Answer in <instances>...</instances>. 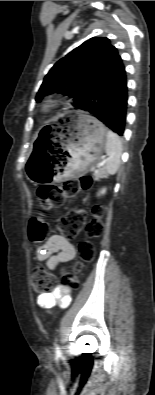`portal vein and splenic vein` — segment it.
<instances>
[{
  "instance_id": "1",
  "label": "portal vein and splenic vein",
  "mask_w": 155,
  "mask_h": 395,
  "mask_svg": "<svg viewBox=\"0 0 155 395\" xmlns=\"http://www.w3.org/2000/svg\"><path fill=\"white\" fill-rule=\"evenodd\" d=\"M107 163V159H103L99 164H98V168L104 166Z\"/></svg>"
}]
</instances>
